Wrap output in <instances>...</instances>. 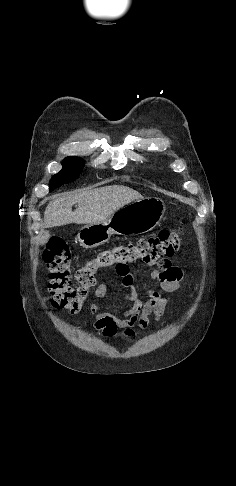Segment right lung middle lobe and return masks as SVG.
Instances as JSON below:
<instances>
[{"label":"right lung middle lobe","instance_id":"1","mask_svg":"<svg viewBox=\"0 0 236 486\" xmlns=\"http://www.w3.org/2000/svg\"><path fill=\"white\" fill-rule=\"evenodd\" d=\"M84 161L79 157H67L63 160V169L55 174L50 182V191L60 185L67 184L78 177L81 172Z\"/></svg>","mask_w":236,"mask_h":486}]
</instances>
